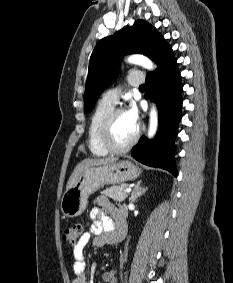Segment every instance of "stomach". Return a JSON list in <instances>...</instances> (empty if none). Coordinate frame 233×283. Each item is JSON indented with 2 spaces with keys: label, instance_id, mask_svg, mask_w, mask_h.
I'll return each instance as SVG.
<instances>
[{
  "label": "stomach",
  "instance_id": "obj_1",
  "mask_svg": "<svg viewBox=\"0 0 233 283\" xmlns=\"http://www.w3.org/2000/svg\"><path fill=\"white\" fill-rule=\"evenodd\" d=\"M141 169L128 160L101 166H90L83 170L75 185L66 190L61 199V212L68 218L82 214L88 197L106 184H121L135 180Z\"/></svg>",
  "mask_w": 233,
  "mask_h": 283
}]
</instances>
